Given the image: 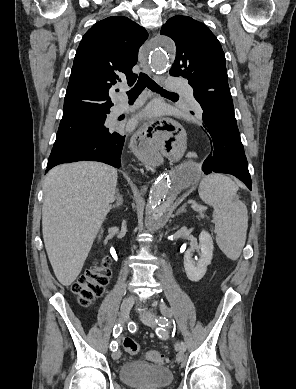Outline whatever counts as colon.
<instances>
[{
  "label": "colon",
  "instance_id": "5ec220e1",
  "mask_svg": "<svg viewBox=\"0 0 296 389\" xmlns=\"http://www.w3.org/2000/svg\"><path fill=\"white\" fill-rule=\"evenodd\" d=\"M110 264L109 257L101 258L72 284L71 290L80 305L87 307L102 294L111 277ZM123 347L131 355H136L140 351L137 342L129 337L123 339ZM146 358L158 364L168 361L165 354L158 350L147 351Z\"/></svg>",
  "mask_w": 296,
  "mask_h": 389
}]
</instances>
